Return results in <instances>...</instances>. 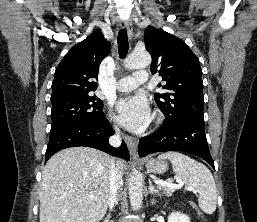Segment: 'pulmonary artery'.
Instances as JSON below:
<instances>
[{
  "mask_svg": "<svg viewBox=\"0 0 257 222\" xmlns=\"http://www.w3.org/2000/svg\"><path fill=\"white\" fill-rule=\"evenodd\" d=\"M148 75L145 71L135 73L133 77H126L116 83V88L119 91L127 92L133 90L137 85L147 81Z\"/></svg>",
  "mask_w": 257,
  "mask_h": 222,
  "instance_id": "e3ab8cb5",
  "label": "pulmonary artery"
}]
</instances>
